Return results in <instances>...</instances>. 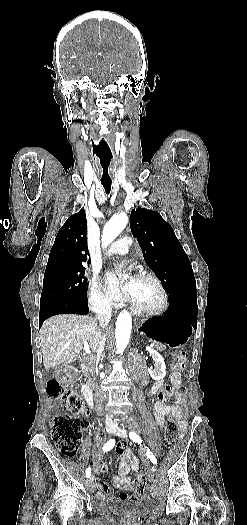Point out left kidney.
I'll use <instances>...</instances> for the list:
<instances>
[{
  "mask_svg": "<svg viewBox=\"0 0 247 525\" xmlns=\"http://www.w3.org/2000/svg\"><path fill=\"white\" fill-rule=\"evenodd\" d=\"M146 351H149L151 357H153V361L156 363V369L155 371H151V375H157V377H161V375H165V363L163 357L157 353V351H154V349H151V347H146Z\"/></svg>",
  "mask_w": 247,
  "mask_h": 525,
  "instance_id": "1",
  "label": "left kidney"
}]
</instances>
